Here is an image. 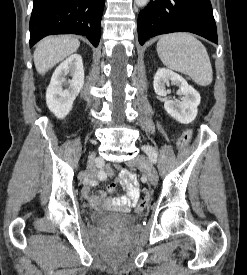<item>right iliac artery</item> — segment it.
I'll list each match as a JSON object with an SVG mask.
<instances>
[{"instance_id":"obj_1","label":"right iliac artery","mask_w":247,"mask_h":275,"mask_svg":"<svg viewBox=\"0 0 247 275\" xmlns=\"http://www.w3.org/2000/svg\"><path fill=\"white\" fill-rule=\"evenodd\" d=\"M96 169H98L96 179L97 180H106L105 164L104 159L101 157H96L95 159Z\"/></svg>"}]
</instances>
